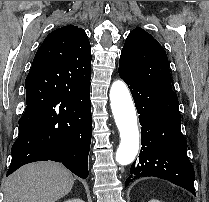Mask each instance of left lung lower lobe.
<instances>
[{
  "label": "left lung lower lobe",
  "instance_id": "0a47b994",
  "mask_svg": "<svg viewBox=\"0 0 209 202\" xmlns=\"http://www.w3.org/2000/svg\"><path fill=\"white\" fill-rule=\"evenodd\" d=\"M128 85L141 124V152L125 186L140 177L154 176L181 186L195 195V173L181 133L176 93L138 77L119 72Z\"/></svg>",
  "mask_w": 209,
  "mask_h": 202
}]
</instances>
